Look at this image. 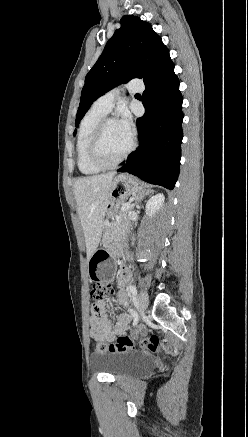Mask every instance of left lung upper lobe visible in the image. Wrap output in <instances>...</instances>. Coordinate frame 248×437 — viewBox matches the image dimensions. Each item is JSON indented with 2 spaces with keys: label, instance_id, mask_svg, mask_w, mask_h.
Masks as SVG:
<instances>
[{
  "label": "left lung upper lobe",
  "instance_id": "left-lung-upper-lobe-1",
  "mask_svg": "<svg viewBox=\"0 0 248 437\" xmlns=\"http://www.w3.org/2000/svg\"><path fill=\"white\" fill-rule=\"evenodd\" d=\"M120 22V29L86 75L75 126L97 98L132 78H143L146 83L171 62L167 47L149 23L132 15Z\"/></svg>",
  "mask_w": 248,
  "mask_h": 437
}]
</instances>
